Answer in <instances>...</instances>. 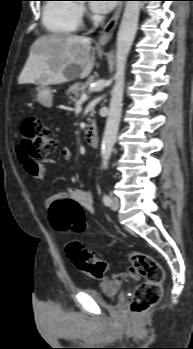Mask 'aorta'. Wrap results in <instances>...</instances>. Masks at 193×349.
Segmentation results:
<instances>
[{
  "instance_id": "762f6f07",
  "label": "aorta",
  "mask_w": 193,
  "mask_h": 349,
  "mask_svg": "<svg viewBox=\"0 0 193 349\" xmlns=\"http://www.w3.org/2000/svg\"><path fill=\"white\" fill-rule=\"evenodd\" d=\"M141 1H126L116 43L115 84L111 90L109 113L101 145L102 167L106 169L116 141L121 120L127 57L133 44L140 13Z\"/></svg>"
}]
</instances>
